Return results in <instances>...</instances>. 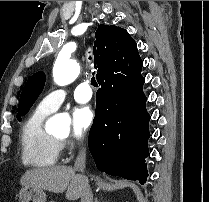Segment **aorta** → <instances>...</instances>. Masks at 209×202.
<instances>
[{
	"label": "aorta",
	"instance_id": "obj_1",
	"mask_svg": "<svg viewBox=\"0 0 209 202\" xmlns=\"http://www.w3.org/2000/svg\"><path fill=\"white\" fill-rule=\"evenodd\" d=\"M80 73L79 64L64 55L59 54L53 67V79L58 86L68 85ZM70 117L67 114H56L48 119L45 129L48 132L68 133L70 130Z\"/></svg>",
	"mask_w": 209,
	"mask_h": 202
}]
</instances>
